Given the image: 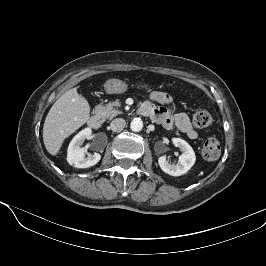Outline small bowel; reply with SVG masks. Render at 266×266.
<instances>
[{
	"mask_svg": "<svg viewBox=\"0 0 266 266\" xmlns=\"http://www.w3.org/2000/svg\"><path fill=\"white\" fill-rule=\"evenodd\" d=\"M173 102V98L169 94L161 91H154L150 95V101H147L140 106L139 112L144 116H148L154 122L165 128L169 129L175 125L178 130L185 134L189 139H197L198 132L193 128L187 114L178 111L174 114H170L166 108L155 105V103L171 105Z\"/></svg>",
	"mask_w": 266,
	"mask_h": 266,
	"instance_id": "1",
	"label": "small bowel"
}]
</instances>
